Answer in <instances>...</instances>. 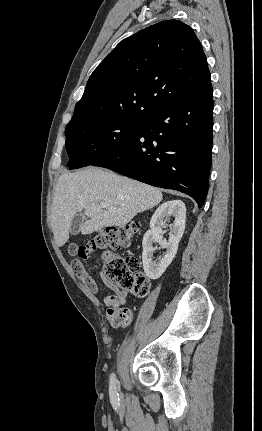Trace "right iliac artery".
I'll return each mask as SVG.
<instances>
[{"label":"right iliac artery","mask_w":262,"mask_h":431,"mask_svg":"<svg viewBox=\"0 0 262 431\" xmlns=\"http://www.w3.org/2000/svg\"><path fill=\"white\" fill-rule=\"evenodd\" d=\"M116 383H117V379L115 377L114 374L111 375L110 377V388H109V395H110V399L112 401H116L118 399V392L116 389Z\"/></svg>","instance_id":"right-iliac-artery-1"}]
</instances>
